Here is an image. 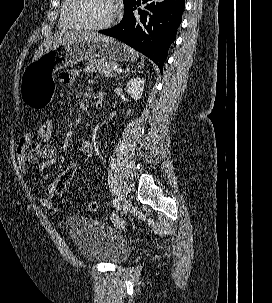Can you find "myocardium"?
I'll return each mask as SVG.
<instances>
[{"mask_svg": "<svg viewBox=\"0 0 272 303\" xmlns=\"http://www.w3.org/2000/svg\"><path fill=\"white\" fill-rule=\"evenodd\" d=\"M80 2V0H70L67 10L68 18L71 22H73L75 25L82 29L91 30V31H100L107 29L111 27L118 19L120 15V7L116 0H112L114 4V13L112 17L106 21L105 23L99 24V25H92L84 22L82 19H80L76 14V7L77 4Z\"/></svg>", "mask_w": 272, "mask_h": 303, "instance_id": "obj_1", "label": "myocardium"}]
</instances>
